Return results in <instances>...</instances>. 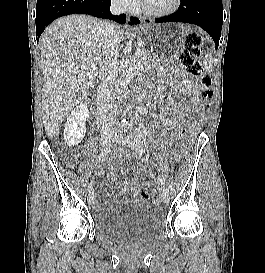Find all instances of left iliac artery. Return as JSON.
<instances>
[{
  "label": "left iliac artery",
  "mask_w": 265,
  "mask_h": 273,
  "mask_svg": "<svg viewBox=\"0 0 265 273\" xmlns=\"http://www.w3.org/2000/svg\"><path fill=\"white\" fill-rule=\"evenodd\" d=\"M136 135L140 139H142L144 137V134H143L142 130H140V129H136ZM159 181H160L161 185L165 186V177L163 176V174L159 176Z\"/></svg>",
  "instance_id": "left-iliac-artery-1"
}]
</instances>
